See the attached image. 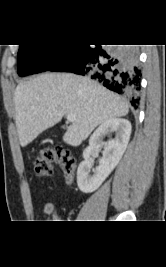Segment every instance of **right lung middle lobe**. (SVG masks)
Instances as JSON below:
<instances>
[{
	"mask_svg": "<svg viewBox=\"0 0 166 267\" xmlns=\"http://www.w3.org/2000/svg\"><path fill=\"white\" fill-rule=\"evenodd\" d=\"M18 74L31 75L47 71L59 60L69 45H19Z\"/></svg>",
	"mask_w": 166,
	"mask_h": 267,
	"instance_id": "dd1d6c3e",
	"label": "right lung middle lobe"
}]
</instances>
